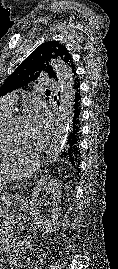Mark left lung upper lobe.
<instances>
[{"label":"left lung upper lobe","mask_w":118,"mask_h":269,"mask_svg":"<svg viewBox=\"0 0 118 269\" xmlns=\"http://www.w3.org/2000/svg\"><path fill=\"white\" fill-rule=\"evenodd\" d=\"M61 59L67 64L74 74L73 87L79 83L73 59L65 46L57 41H48L41 44L33 53H31L7 78L0 88V95H4L15 89L27 86L31 81H35L41 73H47L50 78H55L56 73L49 64L51 59Z\"/></svg>","instance_id":"left-lung-upper-lobe-1"}]
</instances>
